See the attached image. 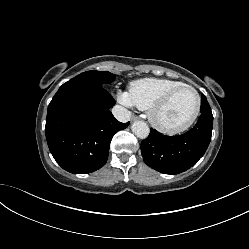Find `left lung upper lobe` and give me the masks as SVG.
<instances>
[{"instance_id":"1","label":"left lung upper lobe","mask_w":249,"mask_h":249,"mask_svg":"<svg viewBox=\"0 0 249 249\" xmlns=\"http://www.w3.org/2000/svg\"><path fill=\"white\" fill-rule=\"evenodd\" d=\"M201 113H211V108L208 101L204 95L201 97Z\"/></svg>"}]
</instances>
